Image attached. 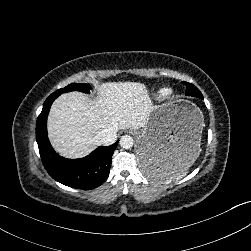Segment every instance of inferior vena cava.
Instances as JSON below:
<instances>
[{
  "instance_id": "602c4592",
  "label": "inferior vena cava",
  "mask_w": 251,
  "mask_h": 251,
  "mask_svg": "<svg viewBox=\"0 0 251 251\" xmlns=\"http://www.w3.org/2000/svg\"><path fill=\"white\" fill-rule=\"evenodd\" d=\"M96 138L100 141L101 145L109 146L117 140V134L115 129L106 128L100 131Z\"/></svg>"
}]
</instances>
